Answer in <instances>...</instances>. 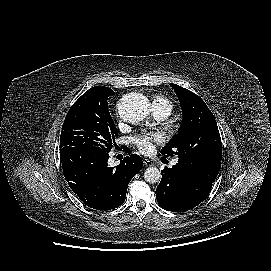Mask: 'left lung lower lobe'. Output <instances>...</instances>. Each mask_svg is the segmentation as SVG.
<instances>
[{"mask_svg":"<svg viewBox=\"0 0 271 271\" xmlns=\"http://www.w3.org/2000/svg\"><path fill=\"white\" fill-rule=\"evenodd\" d=\"M213 182L184 169L178 164L165 167L156 189L158 204L172 212L188 211L209 195Z\"/></svg>","mask_w":271,"mask_h":271,"instance_id":"obj_1","label":"left lung lower lobe"}]
</instances>
